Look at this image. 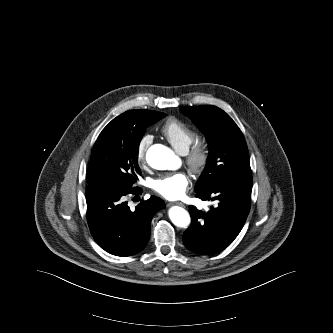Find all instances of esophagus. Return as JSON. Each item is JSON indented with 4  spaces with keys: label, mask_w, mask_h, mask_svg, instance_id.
<instances>
[{
    "label": "esophagus",
    "mask_w": 333,
    "mask_h": 333,
    "mask_svg": "<svg viewBox=\"0 0 333 333\" xmlns=\"http://www.w3.org/2000/svg\"><path fill=\"white\" fill-rule=\"evenodd\" d=\"M169 205H178V206L184 207V204L182 202L169 203Z\"/></svg>",
    "instance_id": "34e87169"
}]
</instances>
